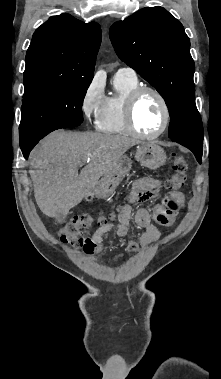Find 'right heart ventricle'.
<instances>
[{"instance_id":"right-heart-ventricle-1","label":"right heart ventricle","mask_w":221,"mask_h":379,"mask_svg":"<svg viewBox=\"0 0 221 379\" xmlns=\"http://www.w3.org/2000/svg\"><path fill=\"white\" fill-rule=\"evenodd\" d=\"M114 86L115 93L106 98L104 109L96 121V128L108 134H127L129 131L124 119L125 100L139 83L137 79L115 76Z\"/></svg>"}]
</instances>
